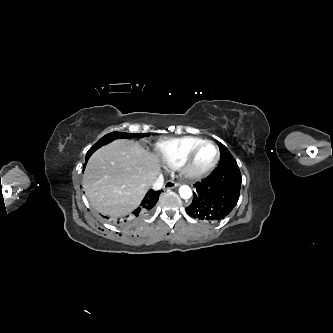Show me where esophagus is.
Masks as SVG:
<instances>
[{
    "instance_id": "34e87169",
    "label": "esophagus",
    "mask_w": 333,
    "mask_h": 333,
    "mask_svg": "<svg viewBox=\"0 0 333 333\" xmlns=\"http://www.w3.org/2000/svg\"><path fill=\"white\" fill-rule=\"evenodd\" d=\"M180 184L177 183V182H174L172 180H168L165 182L164 184V189L168 190V189H173V188H176L178 187Z\"/></svg>"
}]
</instances>
